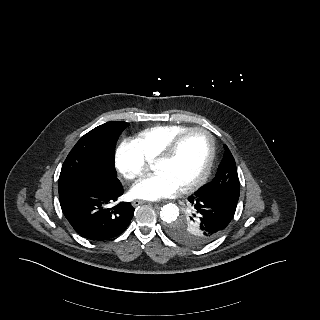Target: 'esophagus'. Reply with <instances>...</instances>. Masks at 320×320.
I'll return each mask as SVG.
<instances>
[{
    "instance_id": "34e87169",
    "label": "esophagus",
    "mask_w": 320,
    "mask_h": 320,
    "mask_svg": "<svg viewBox=\"0 0 320 320\" xmlns=\"http://www.w3.org/2000/svg\"><path fill=\"white\" fill-rule=\"evenodd\" d=\"M144 203H147V202L144 201V200H134V201L132 202V205H133L134 207H137V206L142 205V204H144Z\"/></svg>"
}]
</instances>
